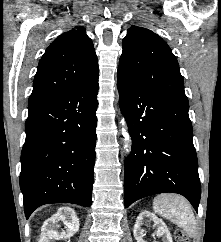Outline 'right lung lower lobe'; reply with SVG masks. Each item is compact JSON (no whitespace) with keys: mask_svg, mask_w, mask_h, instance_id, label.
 Wrapping results in <instances>:
<instances>
[{"mask_svg":"<svg viewBox=\"0 0 221 242\" xmlns=\"http://www.w3.org/2000/svg\"><path fill=\"white\" fill-rule=\"evenodd\" d=\"M98 73L63 94L29 102L21 153L25 216L48 203L90 207Z\"/></svg>","mask_w":221,"mask_h":242,"instance_id":"98d812e1","label":"right lung lower lobe"}]
</instances>
